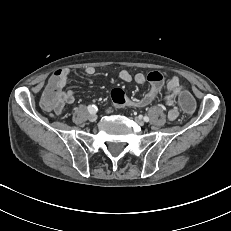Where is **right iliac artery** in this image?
I'll return each instance as SVG.
<instances>
[{
    "label": "right iliac artery",
    "mask_w": 231,
    "mask_h": 231,
    "mask_svg": "<svg viewBox=\"0 0 231 231\" xmlns=\"http://www.w3.org/2000/svg\"><path fill=\"white\" fill-rule=\"evenodd\" d=\"M87 109L90 113H93V114L97 112V107L95 105H89Z\"/></svg>",
    "instance_id": "obj_1"
}]
</instances>
